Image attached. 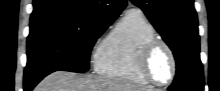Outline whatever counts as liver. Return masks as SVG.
Returning a JSON list of instances; mask_svg holds the SVG:
<instances>
[{
	"label": "liver",
	"mask_w": 220,
	"mask_h": 91,
	"mask_svg": "<svg viewBox=\"0 0 220 91\" xmlns=\"http://www.w3.org/2000/svg\"><path fill=\"white\" fill-rule=\"evenodd\" d=\"M34 91H143L121 80L103 77L78 76L57 71L44 78Z\"/></svg>",
	"instance_id": "1"
}]
</instances>
